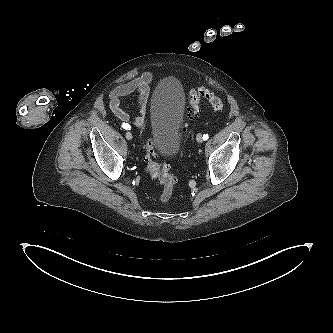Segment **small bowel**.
Returning a JSON list of instances; mask_svg holds the SVG:
<instances>
[{"label":"small bowel","instance_id":"1","mask_svg":"<svg viewBox=\"0 0 333 333\" xmlns=\"http://www.w3.org/2000/svg\"><path fill=\"white\" fill-rule=\"evenodd\" d=\"M153 79L151 72H144L140 77L114 88L109 94V107L114 116L123 123L132 122L137 127L145 124L147 117V102L150 92V83ZM136 95L139 105L138 114L131 119L130 115L121 107L123 99Z\"/></svg>","mask_w":333,"mask_h":333}]
</instances>
